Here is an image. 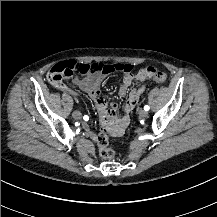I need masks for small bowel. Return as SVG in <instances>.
Instances as JSON below:
<instances>
[{
	"instance_id": "small-bowel-1",
	"label": "small bowel",
	"mask_w": 217,
	"mask_h": 217,
	"mask_svg": "<svg viewBox=\"0 0 217 217\" xmlns=\"http://www.w3.org/2000/svg\"><path fill=\"white\" fill-rule=\"evenodd\" d=\"M144 68H141L136 74H133L132 72H125L120 86H119V96L125 97L128 93L129 87L132 84L134 80H145L147 78H150L152 76H147L144 73ZM154 68V67H153ZM154 68V72H155ZM105 74V73H104ZM104 74L102 73H95L91 75H86L83 78H74L73 83L77 85L83 92L87 93L93 102V104L96 106L98 111L102 114L100 116V125L103 129L107 130V135L109 137H115L121 133V127L117 125V118L115 116V112L117 109V105L112 103L111 107H107V102L105 97L100 93L101 85L104 81ZM61 91L68 93L70 95L76 96L77 93L72 88L68 87L63 82L58 87ZM144 89H133L125 102L124 109H123V115L120 118L121 124L123 126L122 133L124 131V128L129 124L130 121V114L136 107ZM86 132L88 136H90L92 139L97 141L98 146V137L93 131H91L88 127H85ZM121 133V134H122ZM120 134V135H121Z\"/></svg>"
}]
</instances>
